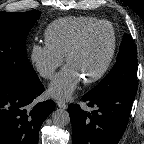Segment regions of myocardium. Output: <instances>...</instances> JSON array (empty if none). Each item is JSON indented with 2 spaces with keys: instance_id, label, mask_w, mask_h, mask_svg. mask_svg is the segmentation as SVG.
I'll return each mask as SVG.
<instances>
[{
  "instance_id": "1",
  "label": "myocardium",
  "mask_w": 144,
  "mask_h": 144,
  "mask_svg": "<svg viewBox=\"0 0 144 144\" xmlns=\"http://www.w3.org/2000/svg\"><path fill=\"white\" fill-rule=\"evenodd\" d=\"M105 25L109 26L111 29L112 42H111L110 51L107 55L106 60L104 61L103 65H102V67L96 73H94L92 76L83 79V82L86 84H91V83H94V82L100 80L106 74V72L108 71V69L112 63V60L115 56L116 49H117V37H116V32H115L113 25L108 21L100 20L92 25L87 26L75 37V39L69 46V48L66 52V55H65L66 63L69 64L70 59L72 58L73 54L81 46V44L83 43L85 38L92 31L96 30L99 27L105 26Z\"/></svg>"
}]
</instances>
